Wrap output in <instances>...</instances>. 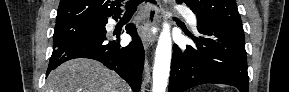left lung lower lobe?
Instances as JSON below:
<instances>
[{
    "label": "left lung lower lobe",
    "mask_w": 289,
    "mask_h": 92,
    "mask_svg": "<svg viewBox=\"0 0 289 92\" xmlns=\"http://www.w3.org/2000/svg\"><path fill=\"white\" fill-rule=\"evenodd\" d=\"M200 36L184 52L173 46L169 92H183L204 83L234 86L249 92L245 38L242 27L197 21Z\"/></svg>",
    "instance_id": "1"
}]
</instances>
